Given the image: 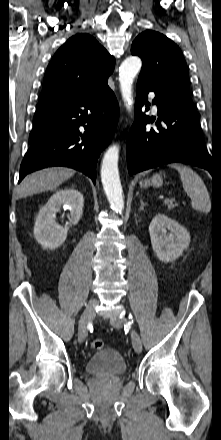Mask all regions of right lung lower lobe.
Returning <instances> with one entry per match:
<instances>
[{
	"instance_id": "right-lung-lower-lobe-1",
	"label": "right lung lower lobe",
	"mask_w": 221,
	"mask_h": 440,
	"mask_svg": "<svg viewBox=\"0 0 221 440\" xmlns=\"http://www.w3.org/2000/svg\"><path fill=\"white\" fill-rule=\"evenodd\" d=\"M118 117V102L109 87L93 95L38 103L19 182L36 170L66 166L83 172L95 184L97 158L110 144Z\"/></svg>"
}]
</instances>
